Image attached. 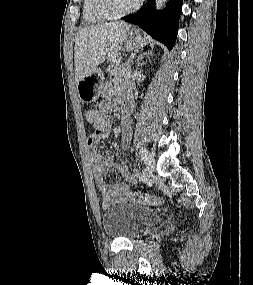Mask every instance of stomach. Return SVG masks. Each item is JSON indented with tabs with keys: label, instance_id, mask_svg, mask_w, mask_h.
<instances>
[{
	"label": "stomach",
	"instance_id": "1",
	"mask_svg": "<svg viewBox=\"0 0 253 285\" xmlns=\"http://www.w3.org/2000/svg\"><path fill=\"white\" fill-rule=\"evenodd\" d=\"M147 44V39L138 30L132 29L126 33L123 51L136 52ZM104 76L100 69L96 68L82 80H80L76 87L78 97L82 102H95L101 92Z\"/></svg>",
	"mask_w": 253,
	"mask_h": 285
}]
</instances>
